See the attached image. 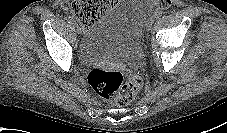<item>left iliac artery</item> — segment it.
Masks as SVG:
<instances>
[{
  "instance_id": "44dca946",
  "label": "left iliac artery",
  "mask_w": 227,
  "mask_h": 133,
  "mask_svg": "<svg viewBox=\"0 0 227 133\" xmlns=\"http://www.w3.org/2000/svg\"><path fill=\"white\" fill-rule=\"evenodd\" d=\"M162 16V11H155L153 14L154 19H158Z\"/></svg>"
}]
</instances>
